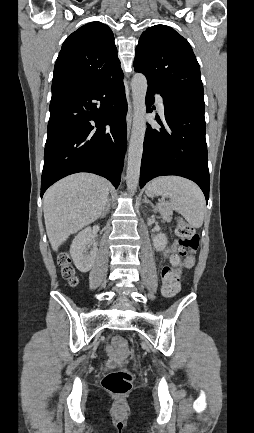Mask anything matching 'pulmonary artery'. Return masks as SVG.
<instances>
[{"label":"pulmonary artery","mask_w":254,"mask_h":433,"mask_svg":"<svg viewBox=\"0 0 254 433\" xmlns=\"http://www.w3.org/2000/svg\"><path fill=\"white\" fill-rule=\"evenodd\" d=\"M155 98H156L158 108H159L160 112L163 114L164 113V105H163L162 97L160 95L156 94Z\"/></svg>","instance_id":"e3ab8cb5"}]
</instances>
